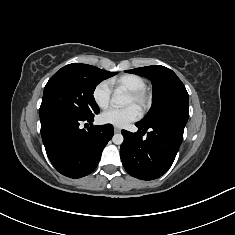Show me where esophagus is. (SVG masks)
Returning a JSON list of instances; mask_svg holds the SVG:
<instances>
[{"label": "esophagus", "instance_id": "esophagus-1", "mask_svg": "<svg viewBox=\"0 0 235 235\" xmlns=\"http://www.w3.org/2000/svg\"><path fill=\"white\" fill-rule=\"evenodd\" d=\"M121 131V129L120 128H118V127H114V132L115 133H119Z\"/></svg>", "mask_w": 235, "mask_h": 235}]
</instances>
